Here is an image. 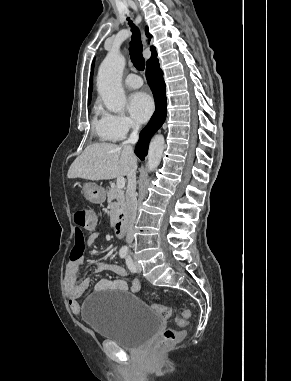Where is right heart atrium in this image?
Wrapping results in <instances>:
<instances>
[{
  "mask_svg": "<svg viewBox=\"0 0 291 381\" xmlns=\"http://www.w3.org/2000/svg\"><path fill=\"white\" fill-rule=\"evenodd\" d=\"M102 116L108 131L116 140L125 138L130 132L137 129L134 121L124 114L105 112Z\"/></svg>",
  "mask_w": 291,
  "mask_h": 381,
  "instance_id": "1",
  "label": "right heart atrium"
}]
</instances>
